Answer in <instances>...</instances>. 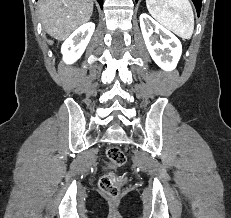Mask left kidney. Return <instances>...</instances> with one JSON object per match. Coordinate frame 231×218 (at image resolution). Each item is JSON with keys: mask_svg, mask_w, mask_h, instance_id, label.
<instances>
[{"mask_svg": "<svg viewBox=\"0 0 231 218\" xmlns=\"http://www.w3.org/2000/svg\"><path fill=\"white\" fill-rule=\"evenodd\" d=\"M140 27L154 62L165 71L174 70L182 54L179 39L146 13L140 15ZM154 32L160 36L161 42L158 41V36Z\"/></svg>", "mask_w": 231, "mask_h": 218, "instance_id": "left-kidney-1", "label": "left kidney"}]
</instances>
